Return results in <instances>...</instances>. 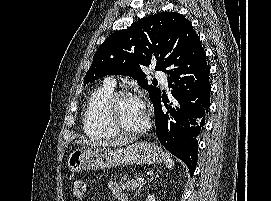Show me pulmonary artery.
<instances>
[{
  "label": "pulmonary artery",
  "instance_id": "1",
  "mask_svg": "<svg viewBox=\"0 0 271 201\" xmlns=\"http://www.w3.org/2000/svg\"><path fill=\"white\" fill-rule=\"evenodd\" d=\"M156 76L160 79V81L163 84H166V81H167L166 80V74L162 70H157L156 71ZM104 83H105L106 86H109V87H114L115 86V80L112 77H107L104 80Z\"/></svg>",
  "mask_w": 271,
  "mask_h": 201
}]
</instances>
